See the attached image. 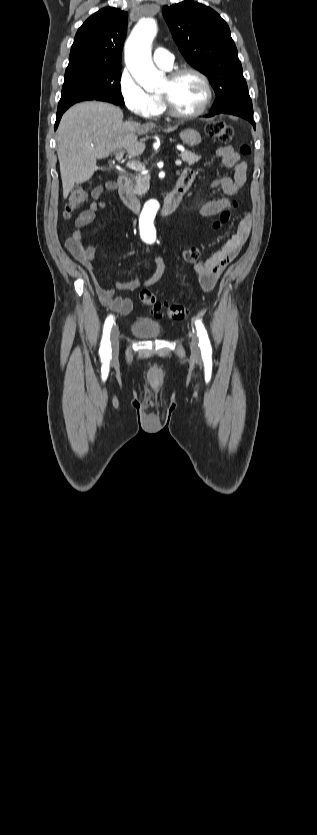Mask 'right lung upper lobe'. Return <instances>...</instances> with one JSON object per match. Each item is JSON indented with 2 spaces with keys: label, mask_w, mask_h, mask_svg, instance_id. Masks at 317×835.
Masks as SVG:
<instances>
[{
  "label": "right lung upper lobe",
  "mask_w": 317,
  "mask_h": 835,
  "mask_svg": "<svg viewBox=\"0 0 317 835\" xmlns=\"http://www.w3.org/2000/svg\"><path fill=\"white\" fill-rule=\"evenodd\" d=\"M127 19V12L112 7L103 8L94 13L76 33L68 66L80 64L121 66Z\"/></svg>",
  "instance_id": "1"
}]
</instances>
